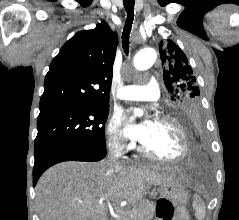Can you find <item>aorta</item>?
<instances>
[{
  "mask_svg": "<svg viewBox=\"0 0 239 220\" xmlns=\"http://www.w3.org/2000/svg\"><path fill=\"white\" fill-rule=\"evenodd\" d=\"M157 58V54L152 48H144L138 51L133 59L134 67L137 70H146L150 68ZM143 111L141 109H135V115L141 116Z\"/></svg>",
  "mask_w": 239,
  "mask_h": 220,
  "instance_id": "762f6f07",
  "label": "aorta"
}]
</instances>
